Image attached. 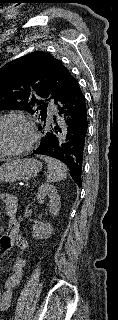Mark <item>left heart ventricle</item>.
<instances>
[{"mask_svg":"<svg viewBox=\"0 0 118 320\" xmlns=\"http://www.w3.org/2000/svg\"><path fill=\"white\" fill-rule=\"evenodd\" d=\"M28 139L25 125L17 120H8L0 123V148L11 150L19 148Z\"/></svg>","mask_w":118,"mask_h":320,"instance_id":"left-heart-ventricle-1","label":"left heart ventricle"}]
</instances>
